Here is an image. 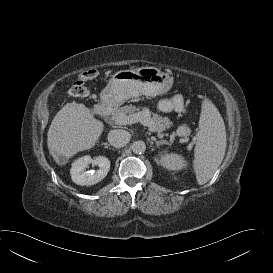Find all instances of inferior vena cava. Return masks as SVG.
Masks as SVG:
<instances>
[{"mask_svg": "<svg viewBox=\"0 0 273 273\" xmlns=\"http://www.w3.org/2000/svg\"><path fill=\"white\" fill-rule=\"evenodd\" d=\"M130 137L128 131L115 129L108 133V142L115 148H121L130 141Z\"/></svg>", "mask_w": 273, "mask_h": 273, "instance_id": "1", "label": "inferior vena cava"}]
</instances>
